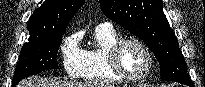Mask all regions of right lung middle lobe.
<instances>
[{
    "instance_id": "right-lung-middle-lobe-1",
    "label": "right lung middle lobe",
    "mask_w": 205,
    "mask_h": 87,
    "mask_svg": "<svg viewBox=\"0 0 205 87\" xmlns=\"http://www.w3.org/2000/svg\"><path fill=\"white\" fill-rule=\"evenodd\" d=\"M63 33L31 37L24 43L14 72L12 87L23 78L49 69H58L57 52Z\"/></svg>"
}]
</instances>
